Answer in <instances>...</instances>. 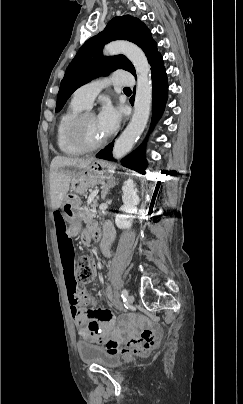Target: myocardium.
<instances>
[{
  "label": "myocardium",
  "mask_w": 243,
  "mask_h": 404,
  "mask_svg": "<svg viewBox=\"0 0 243 404\" xmlns=\"http://www.w3.org/2000/svg\"><path fill=\"white\" fill-rule=\"evenodd\" d=\"M89 116H95L94 112L89 109L83 110L80 113H78L69 122L66 133L68 138L78 147L82 148L85 151H95L103 147L106 143V140L103 139L97 143L90 144L82 138L80 134V126L83 123V121Z\"/></svg>",
  "instance_id": "f54148a6"
}]
</instances>
